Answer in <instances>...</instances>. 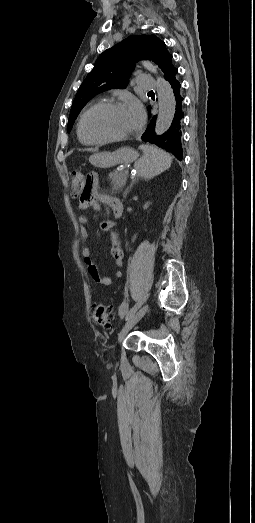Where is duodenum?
<instances>
[{
  "mask_svg": "<svg viewBox=\"0 0 255 523\" xmlns=\"http://www.w3.org/2000/svg\"><path fill=\"white\" fill-rule=\"evenodd\" d=\"M108 204L112 208L114 216L116 218L121 217V215L123 213V204H122V202L119 199H117V198H109L108 199Z\"/></svg>",
  "mask_w": 255,
  "mask_h": 523,
  "instance_id": "1",
  "label": "duodenum"
}]
</instances>
